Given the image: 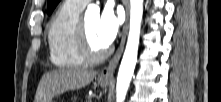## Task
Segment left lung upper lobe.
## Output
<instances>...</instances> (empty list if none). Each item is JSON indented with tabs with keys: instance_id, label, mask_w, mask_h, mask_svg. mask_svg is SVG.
<instances>
[{
	"instance_id": "5c2ea615",
	"label": "left lung upper lobe",
	"mask_w": 221,
	"mask_h": 102,
	"mask_svg": "<svg viewBox=\"0 0 221 102\" xmlns=\"http://www.w3.org/2000/svg\"><path fill=\"white\" fill-rule=\"evenodd\" d=\"M59 2L60 0H48L47 13L51 14Z\"/></svg>"
}]
</instances>
